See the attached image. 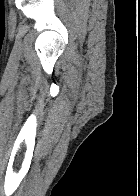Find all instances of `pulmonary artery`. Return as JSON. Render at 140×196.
<instances>
[{
	"label": "pulmonary artery",
	"instance_id": "1",
	"mask_svg": "<svg viewBox=\"0 0 140 196\" xmlns=\"http://www.w3.org/2000/svg\"><path fill=\"white\" fill-rule=\"evenodd\" d=\"M28 192H45V191H28Z\"/></svg>",
	"mask_w": 140,
	"mask_h": 196
}]
</instances>
